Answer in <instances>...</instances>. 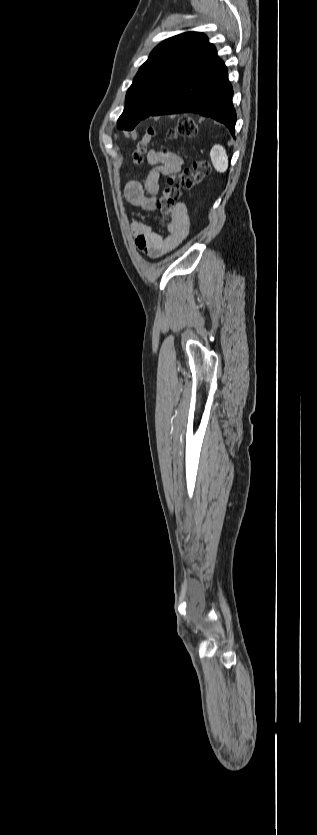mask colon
Returning a JSON list of instances; mask_svg holds the SVG:
<instances>
[{"label": "colon", "mask_w": 317, "mask_h": 835, "mask_svg": "<svg viewBox=\"0 0 317 835\" xmlns=\"http://www.w3.org/2000/svg\"><path fill=\"white\" fill-rule=\"evenodd\" d=\"M197 133L198 129L194 120L191 117L185 116L178 121L174 129L168 131L167 135L169 139H175L177 137L193 138ZM154 134V129L149 128L145 136L138 142L133 154L136 163L143 161L147 144ZM210 172L211 168L209 163L205 160L197 159L192 162L190 168H186L180 174L168 176L162 195L157 203L161 215L163 217L170 216L178 204L182 189L192 188L207 177Z\"/></svg>", "instance_id": "colon-1"}]
</instances>
